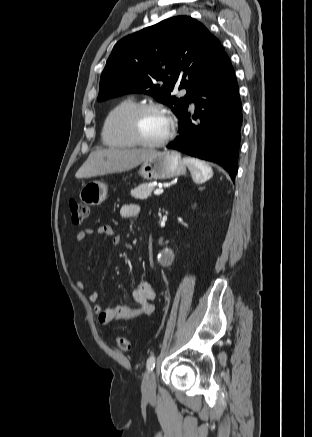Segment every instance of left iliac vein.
Instances as JSON below:
<instances>
[{
	"mask_svg": "<svg viewBox=\"0 0 312 437\" xmlns=\"http://www.w3.org/2000/svg\"><path fill=\"white\" fill-rule=\"evenodd\" d=\"M156 392V376L153 371H149L142 383V393L146 397H153Z\"/></svg>",
	"mask_w": 312,
	"mask_h": 437,
	"instance_id": "left-iliac-vein-1",
	"label": "left iliac vein"
}]
</instances>
